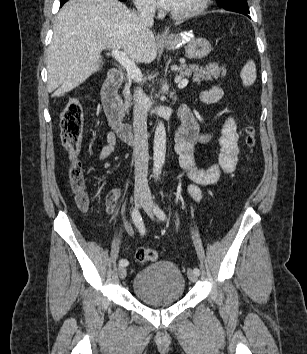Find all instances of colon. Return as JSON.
<instances>
[{
  "label": "colon",
  "mask_w": 307,
  "mask_h": 354,
  "mask_svg": "<svg viewBox=\"0 0 307 354\" xmlns=\"http://www.w3.org/2000/svg\"><path fill=\"white\" fill-rule=\"evenodd\" d=\"M83 119L81 102L77 98H70L61 113V142L68 152V177L71 188L76 194L78 205L84 209L88 200L83 168L79 160ZM246 144L251 150L256 146L255 129L251 123L246 127ZM136 259L141 263L155 261L158 259V253L151 248H139L136 251Z\"/></svg>",
  "instance_id": "obj_1"
}]
</instances>
